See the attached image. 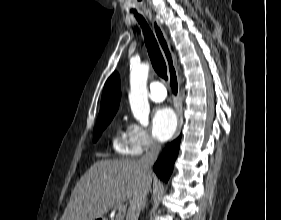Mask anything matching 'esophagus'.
I'll list each match as a JSON object with an SVG mask.
<instances>
[{
  "instance_id": "obj_1",
  "label": "esophagus",
  "mask_w": 281,
  "mask_h": 220,
  "mask_svg": "<svg viewBox=\"0 0 281 220\" xmlns=\"http://www.w3.org/2000/svg\"><path fill=\"white\" fill-rule=\"evenodd\" d=\"M145 12L148 17H151L154 34L166 62L168 76H169V86L173 98L175 99L176 102V112L178 118V127H177L176 136H178L182 127V109L179 100L180 87H179V80L175 67V56L170 48V44L166 32L163 29L162 25L160 24L159 20L155 18L148 10H145Z\"/></svg>"
}]
</instances>
